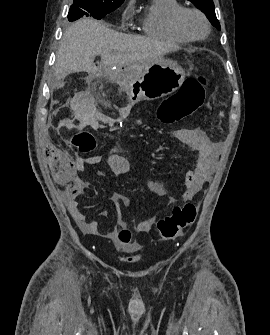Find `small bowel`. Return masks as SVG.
Masks as SVG:
<instances>
[{"label": "small bowel", "mask_w": 270, "mask_h": 335, "mask_svg": "<svg viewBox=\"0 0 270 335\" xmlns=\"http://www.w3.org/2000/svg\"><path fill=\"white\" fill-rule=\"evenodd\" d=\"M192 137V147L199 152V158L196 167L189 170L184 178L185 189L180 197L182 201L191 200L212 178L214 169V159L219 148V144L210 140L201 130L190 132ZM45 161L47 165H52L53 173L56 178H68L69 185L65 191V198L68 211L80 229L89 235H99L102 233L100 224L97 221H88L85 213L80 209L78 198L82 196L86 189V184L77 175V172L83 171L86 166L96 165L101 162L100 155H93L87 158L78 157L76 160L66 154V149H60L59 144L45 145ZM108 165L111 171L116 175H126L131 171V165L128 159L123 156L119 149H114L107 157ZM148 190L158 197L163 196V188L159 182L147 180ZM116 210L117 223L120 227H125L126 222L122 213V207L130 206V199L119 192H114L110 197ZM176 199H168L165 204L171 205ZM101 216H107L106 210L102 211ZM154 224V218L142 220L137 225V230L141 233L148 232ZM116 233V227H111L106 235L113 236Z\"/></svg>", "instance_id": "c3829d8e"}]
</instances>
